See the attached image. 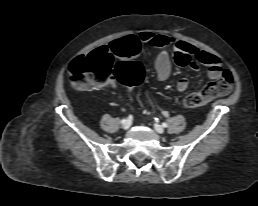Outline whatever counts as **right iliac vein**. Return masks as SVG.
Instances as JSON below:
<instances>
[{"instance_id": "obj_1", "label": "right iliac vein", "mask_w": 258, "mask_h": 206, "mask_svg": "<svg viewBox=\"0 0 258 206\" xmlns=\"http://www.w3.org/2000/svg\"><path fill=\"white\" fill-rule=\"evenodd\" d=\"M130 126H131V120L130 119H126L125 122L122 124V127L125 130L129 129Z\"/></svg>"}]
</instances>
